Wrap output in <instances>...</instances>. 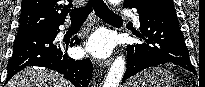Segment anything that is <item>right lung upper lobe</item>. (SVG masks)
<instances>
[{
  "instance_id": "cb5924a9",
  "label": "right lung upper lobe",
  "mask_w": 205,
  "mask_h": 87,
  "mask_svg": "<svg viewBox=\"0 0 205 87\" xmlns=\"http://www.w3.org/2000/svg\"><path fill=\"white\" fill-rule=\"evenodd\" d=\"M67 1L68 5L60 4L61 0H23L18 33L63 24L73 7L72 0Z\"/></svg>"
}]
</instances>
